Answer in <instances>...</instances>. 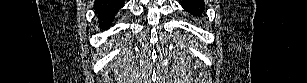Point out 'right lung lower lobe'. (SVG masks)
<instances>
[{"instance_id": "right-lung-lower-lobe-1", "label": "right lung lower lobe", "mask_w": 307, "mask_h": 83, "mask_svg": "<svg viewBox=\"0 0 307 83\" xmlns=\"http://www.w3.org/2000/svg\"><path fill=\"white\" fill-rule=\"evenodd\" d=\"M124 6V0H97L94 8L99 18L101 30L111 26L115 14Z\"/></svg>"}]
</instances>
